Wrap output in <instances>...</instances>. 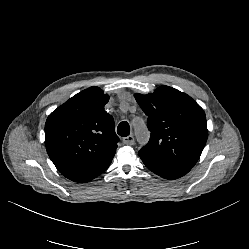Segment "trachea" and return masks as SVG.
Here are the masks:
<instances>
[{
  "label": "trachea",
  "instance_id": "1",
  "mask_svg": "<svg viewBox=\"0 0 249 249\" xmlns=\"http://www.w3.org/2000/svg\"><path fill=\"white\" fill-rule=\"evenodd\" d=\"M117 133L122 136L126 137L130 134V126L126 121H123L117 127Z\"/></svg>",
  "mask_w": 249,
  "mask_h": 249
}]
</instances>
